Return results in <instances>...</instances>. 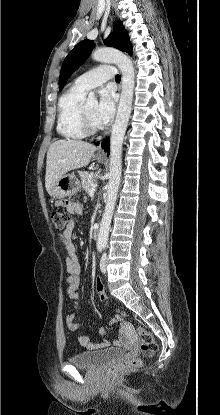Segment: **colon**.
Returning <instances> with one entry per match:
<instances>
[{
	"instance_id": "obj_1",
	"label": "colon",
	"mask_w": 220,
	"mask_h": 415,
	"mask_svg": "<svg viewBox=\"0 0 220 415\" xmlns=\"http://www.w3.org/2000/svg\"><path fill=\"white\" fill-rule=\"evenodd\" d=\"M51 218H52V222H53L55 229L57 231H62L68 223L69 215L66 212L55 211L52 213ZM98 296H99V299L103 303L107 305L109 304V299L106 293H100V294L98 293ZM119 313L125 317H129V314L127 312H119ZM137 337H138V340L140 341L141 349L144 353H146L149 356L155 354V352L158 349L157 343L155 342L153 336L149 332H147L142 327H138ZM140 366H141V360L139 358H129V359H125L121 361L117 365L116 369L117 370H133V369L139 368Z\"/></svg>"
}]
</instances>
